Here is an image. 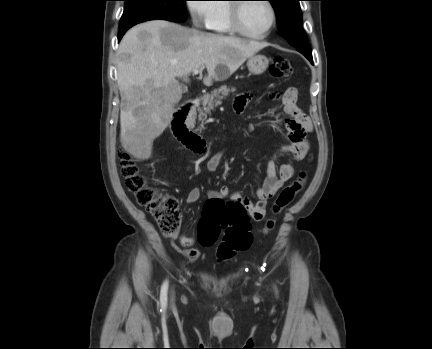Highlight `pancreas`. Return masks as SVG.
<instances>
[{
    "label": "pancreas",
    "instance_id": "cf45deb5",
    "mask_svg": "<svg viewBox=\"0 0 432 349\" xmlns=\"http://www.w3.org/2000/svg\"><path fill=\"white\" fill-rule=\"evenodd\" d=\"M230 92H235V88H229L226 85L221 86L218 89L213 90L210 94H205L201 97L202 107H198V119L204 121L207 118V114H210L212 110L218 105H221L222 100L225 99Z\"/></svg>",
    "mask_w": 432,
    "mask_h": 349
}]
</instances>
